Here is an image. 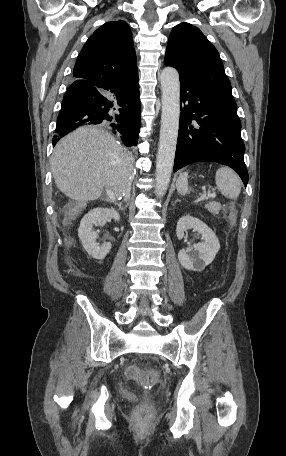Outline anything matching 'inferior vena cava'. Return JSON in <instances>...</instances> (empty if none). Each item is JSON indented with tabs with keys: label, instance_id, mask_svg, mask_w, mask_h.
I'll use <instances>...</instances> for the list:
<instances>
[{
	"label": "inferior vena cava",
	"instance_id": "obj_1",
	"mask_svg": "<svg viewBox=\"0 0 286 456\" xmlns=\"http://www.w3.org/2000/svg\"><path fill=\"white\" fill-rule=\"evenodd\" d=\"M124 194H125V200H127L130 197V188Z\"/></svg>",
	"mask_w": 286,
	"mask_h": 456
}]
</instances>
